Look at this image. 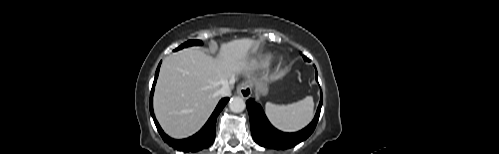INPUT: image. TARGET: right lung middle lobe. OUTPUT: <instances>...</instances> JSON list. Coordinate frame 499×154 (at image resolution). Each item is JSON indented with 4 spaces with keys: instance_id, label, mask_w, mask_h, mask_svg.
Listing matches in <instances>:
<instances>
[{
    "instance_id": "obj_1",
    "label": "right lung middle lobe",
    "mask_w": 499,
    "mask_h": 154,
    "mask_svg": "<svg viewBox=\"0 0 499 154\" xmlns=\"http://www.w3.org/2000/svg\"><path fill=\"white\" fill-rule=\"evenodd\" d=\"M194 45H202V41H200V40H189V41L185 42L184 44H182L181 46H179L178 48H176V50H180V49H182L184 47L194 46Z\"/></svg>"
}]
</instances>
